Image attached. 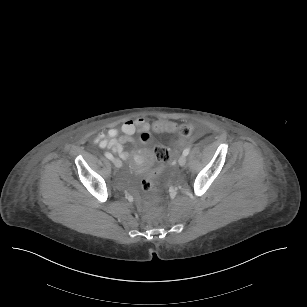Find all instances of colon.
<instances>
[{"instance_id": "colon-1", "label": "colon", "mask_w": 307, "mask_h": 307, "mask_svg": "<svg viewBox=\"0 0 307 307\" xmlns=\"http://www.w3.org/2000/svg\"><path fill=\"white\" fill-rule=\"evenodd\" d=\"M154 129L158 133H174L178 129V124L174 120H158L154 124ZM179 134L181 135L178 138L180 143L185 141L184 137H188L192 133V127L189 124H183L179 130ZM151 139V134L149 132H143L140 135V140L142 142H147ZM154 155L155 158L161 163L157 171H151L148 174V177H144L142 179V188L146 192H155L158 188V183L156 179L162 175L166 166L171 158L170 150L164 145H156L154 147Z\"/></svg>"}]
</instances>
